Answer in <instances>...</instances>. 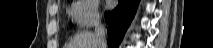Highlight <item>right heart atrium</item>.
<instances>
[{
	"mask_svg": "<svg viewBox=\"0 0 213 48\" xmlns=\"http://www.w3.org/2000/svg\"><path fill=\"white\" fill-rule=\"evenodd\" d=\"M69 14L75 24L82 29L92 27L100 19L96 0L74 1L69 9Z\"/></svg>",
	"mask_w": 213,
	"mask_h": 48,
	"instance_id": "obj_1",
	"label": "right heart atrium"
}]
</instances>
